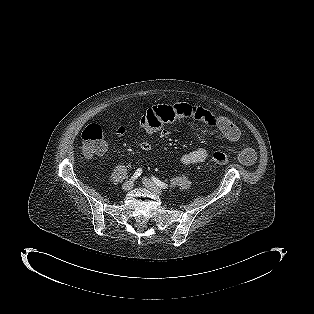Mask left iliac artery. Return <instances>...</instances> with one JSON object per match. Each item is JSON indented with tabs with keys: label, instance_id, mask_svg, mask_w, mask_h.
<instances>
[{
	"label": "left iliac artery",
	"instance_id": "left-iliac-artery-1",
	"mask_svg": "<svg viewBox=\"0 0 314 314\" xmlns=\"http://www.w3.org/2000/svg\"><path fill=\"white\" fill-rule=\"evenodd\" d=\"M152 180L154 181V183H155L156 185H158L159 187H161V188H163V189H165V188L168 187V185H167L166 183L160 181V180H159L158 178H156L155 176L152 177Z\"/></svg>",
	"mask_w": 314,
	"mask_h": 314
}]
</instances>
